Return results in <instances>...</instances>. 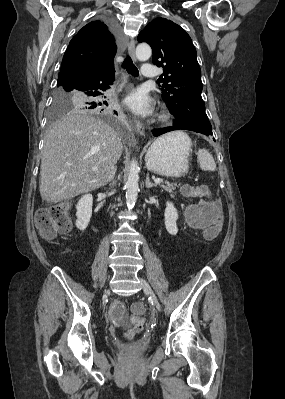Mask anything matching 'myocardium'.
I'll list each match as a JSON object with an SVG mask.
<instances>
[{"label": "myocardium", "mask_w": 285, "mask_h": 399, "mask_svg": "<svg viewBox=\"0 0 285 399\" xmlns=\"http://www.w3.org/2000/svg\"><path fill=\"white\" fill-rule=\"evenodd\" d=\"M160 119L167 121L169 119V113L166 110H162L160 113Z\"/></svg>", "instance_id": "1"}]
</instances>
